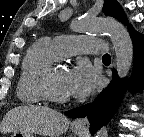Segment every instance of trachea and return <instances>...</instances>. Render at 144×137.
<instances>
[{
  "instance_id": "1",
  "label": "trachea",
  "mask_w": 144,
  "mask_h": 137,
  "mask_svg": "<svg viewBox=\"0 0 144 137\" xmlns=\"http://www.w3.org/2000/svg\"><path fill=\"white\" fill-rule=\"evenodd\" d=\"M103 60H111V57L109 54H105L103 57H102Z\"/></svg>"
}]
</instances>
